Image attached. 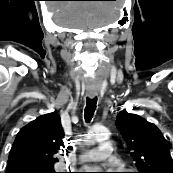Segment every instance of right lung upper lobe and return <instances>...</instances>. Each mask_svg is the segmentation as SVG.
<instances>
[{"instance_id":"cb5924a9","label":"right lung upper lobe","mask_w":173,"mask_h":173,"mask_svg":"<svg viewBox=\"0 0 173 173\" xmlns=\"http://www.w3.org/2000/svg\"><path fill=\"white\" fill-rule=\"evenodd\" d=\"M64 131L59 115H42L23 127L9 153L6 173H31L54 169L55 154L63 145Z\"/></svg>"}]
</instances>
